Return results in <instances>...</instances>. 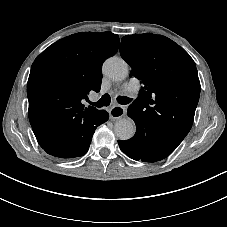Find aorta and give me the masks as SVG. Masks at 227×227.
<instances>
[{
    "mask_svg": "<svg viewBox=\"0 0 227 227\" xmlns=\"http://www.w3.org/2000/svg\"><path fill=\"white\" fill-rule=\"evenodd\" d=\"M102 71L111 80L122 81L128 76V64L122 58L110 57L104 62ZM135 131L136 126L131 119H120L114 126V132L120 140H129Z\"/></svg>",
    "mask_w": 227,
    "mask_h": 227,
    "instance_id": "aorta-1",
    "label": "aorta"
}]
</instances>
